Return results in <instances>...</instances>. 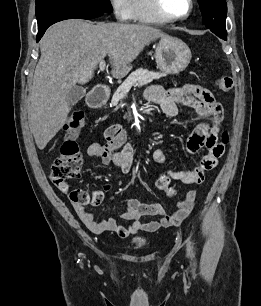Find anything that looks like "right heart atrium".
Returning <instances> with one entry per match:
<instances>
[{
	"mask_svg": "<svg viewBox=\"0 0 261 306\" xmlns=\"http://www.w3.org/2000/svg\"><path fill=\"white\" fill-rule=\"evenodd\" d=\"M112 12L118 21L131 18V0H109Z\"/></svg>",
	"mask_w": 261,
	"mask_h": 306,
	"instance_id": "obj_1",
	"label": "right heart atrium"
}]
</instances>
